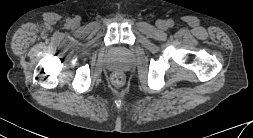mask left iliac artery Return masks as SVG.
<instances>
[{
    "mask_svg": "<svg viewBox=\"0 0 253 138\" xmlns=\"http://www.w3.org/2000/svg\"><path fill=\"white\" fill-rule=\"evenodd\" d=\"M167 24H168L169 27H173L174 26L173 20H169Z\"/></svg>",
    "mask_w": 253,
    "mask_h": 138,
    "instance_id": "44dca946",
    "label": "left iliac artery"
}]
</instances>
